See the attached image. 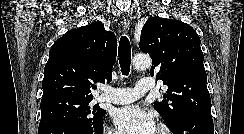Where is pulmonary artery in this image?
<instances>
[{
    "label": "pulmonary artery",
    "mask_w": 244,
    "mask_h": 134,
    "mask_svg": "<svg viewBox=\"0 0 244 134\" xmlns=\"http://www.w3.org/2000/svg\"><path fill=\"white\" fill-rule=\"evenodd\" d=\"M154 84L149 78L138 81L134 88L105 87L100 99L113 104H128L153 90Z\"/></svg>",
    "instance_id": "pulmonary-artery-1"
}]
</instances>
